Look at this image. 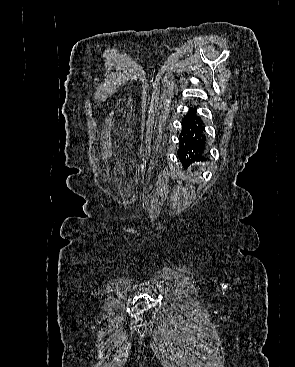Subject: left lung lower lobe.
<instances>
[{"label":"left lung lower lobe","instance_id":"0a47b994","mask_svg":"<svg viewBox=\"0 0 295 367\" xmlns=\"http://www.w3.org/2000/svg\"><path fill=\"white\" fill-rule=\"evenodd\" d=\"M182 129L178 157L182 164L187 166L199 160L206 149L205 126L197 114L196 107H191L190 112L184 117Z\"/></svg>","mask_w":295,"mask_h":367}]
</instances>
